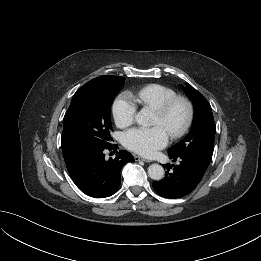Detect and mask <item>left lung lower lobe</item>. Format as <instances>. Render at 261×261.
Listing matches in <instances>:
<instances>
[{"label": "left lung lower lobe", "mask_w": 261, "mask_h": 261, "mask_svg": "<svg viewBox=\"0 0 261 261\" xmlns=\"http://www.w3.org/2000/svg\"><path fill=\"white\" fill-rule=\"evenodd\" d=\"M177 165L166 164L165 178L153 182L156 192L165 198H181L191 193L201 182L206 169L199 163L186 157L169 156Z\"/></svg>", "instance_id": "1"}]
</instances>
